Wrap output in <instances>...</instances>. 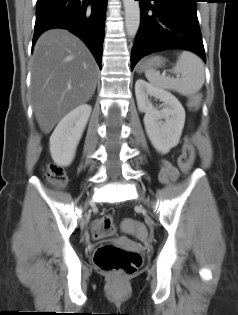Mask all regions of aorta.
Listing matches in <instances>:
<instances>
[{"mask_svg": "<svg viewBox=\"0 0 238 315\" xmlns=\"http://www.w3.org/2000/svg\"><path fill=\"white\" fill-rule=\"evenodd\" d=\"M125 10V27L129 37H135L140 25L139 2L134 0H123Z\"/></svg>", "mask_w": 238, "mask_h": 315, "instance_id": "1", "label": "aorta"}]
</instances>
